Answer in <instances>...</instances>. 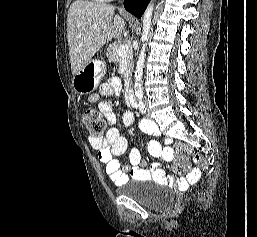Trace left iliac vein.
Instances as JSON below:
<instances>
[{"label":"left iliac vein","mask_w":257,"mask_h":237,"mask_svg":"<svg viewBox=\"0 0 257 237\" xmlns=\"http://www.w3.org/2000/svg\"><path fill=\"white\" fill-rule=\"evenodd\" d=\"M147 117L150 118V110H147Z\"/></svg>","instance_id":"obj_1"}]
</instances>
